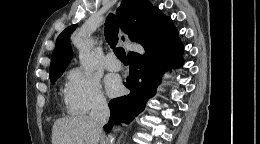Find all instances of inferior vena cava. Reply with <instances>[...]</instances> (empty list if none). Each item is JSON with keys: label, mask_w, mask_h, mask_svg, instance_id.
Segmentation results:
<instances>
[{"label": "inferior vena cava", "mask_w": 260, "mask_h": 144, "mask_svg": "<svg viewBox=\"0 0 260 144\" xmlns=\"http://www.w3.org/2000/svg\"><path fill=\"white\" fill-rule=\"evenodd\" d=\"M110 116L106 99L97 98L90 112V119L97 132H102L103 126L108 122Z\"/></svg>", "instance_id": "obj_1"}]
</instances>
